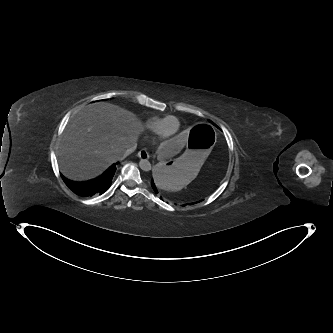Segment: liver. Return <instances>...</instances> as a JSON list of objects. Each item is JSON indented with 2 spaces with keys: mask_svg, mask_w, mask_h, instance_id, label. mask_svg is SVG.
<instances>
[{
  "mask_svg": "<svg viewBox=\"0 0 333 333\" xmlns=\"http://www.w3.org/2000/svg\"><path fill=\"white\" fill-rule=\"evenodd\" d=\"M143 129L132 112L110 103L98 102L80 109L67 124L59 144L61 172L76 181L97 177L137 145ZM187 144L186 137L179 135L160 148L158 155L167 161Z\"/></svg>",
  "mask_w": 333,
  "mask_h": 333,
  "instance_id": "6515ba94",
  "label": "liver"
}]
</instances>
